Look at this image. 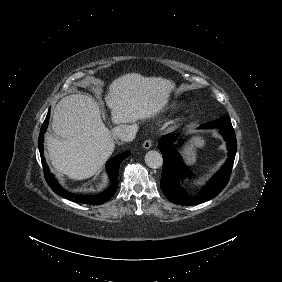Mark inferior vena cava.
<instances>
[{
  "mask_svg": "<svg viewBox=\"0 0 282 282\" xmlns=\"http://www.w3.org/2000/svg\"><path fill=\"white\" fill-rule=\"evenodd\" d=\"M137 129L127 125H121L113 129V135L120 142H130L136 135Z\"/></svg>",
  "mask_w": 282,
  "mask_h": 282,
  "instance_id": "obj_1",
  "label": "inferior vena cava"
}]
</instances>
